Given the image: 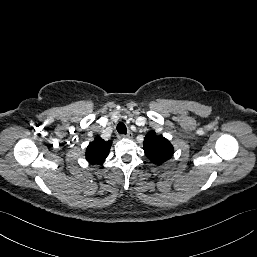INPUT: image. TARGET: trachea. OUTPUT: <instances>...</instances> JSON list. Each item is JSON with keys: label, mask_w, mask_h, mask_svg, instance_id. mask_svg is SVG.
Returning a JSON list of instances; mask_svg holds the SVG:
<instances>
[{"label": "trachea", "mask_w": 257, "mask_h": 257, "mask_svg": "<svg viewBox=\"0 0 257 257\" xmlns=\"http://www.w3.org/2000/svg\"><path fill=\"white\" fill-rule=\"evenodd\" d=\"M117 131L120 134H126L127 133V128L123 122L118 123L117 125Z\"/></svg>", "instance_id": "trachea-1"}]
</instances>
